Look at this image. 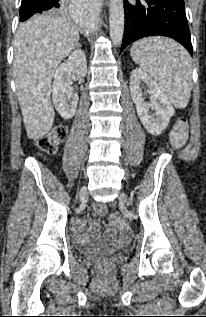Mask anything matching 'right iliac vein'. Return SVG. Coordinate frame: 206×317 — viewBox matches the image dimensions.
<instances>
[{
  "instance_id": "63e3f726",
  "label": "right iliac vein",
  "mask_w": 206,
  "mask_h": 317,
  "mask_svg": "<svg viewBox=\"0 0 206 317\" xmlns=\"http://www.w3.org/2000/svg\"><path fill=\"white\" fill-rule=\"evenodd\" d=\"M87 198V190L85 187L81 188L79 192V200H83Z\"/></svg>"
}]
</instances>
